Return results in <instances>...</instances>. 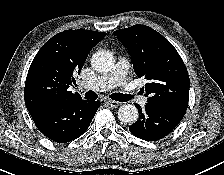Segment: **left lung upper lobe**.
Instances as JSON below:
<instances>
[{
  "instance_id": "obj_1",
  "label": "left lung upper lobe",
  "mask_w": 224,
  "mask_h": 175,
  "mask_svg": "<svg viewBox=\"0 0 224 175\" xmlns=\"http://www.w3.org/2000/svg\"><path fill=\"white\" fill-rule=\"evenodd\" d=\"M114 34L127 47L136 75L148 80V102L187 109L189 76L173 45L157 31L140 24Z\"/></svg>"
}]
</instances>
